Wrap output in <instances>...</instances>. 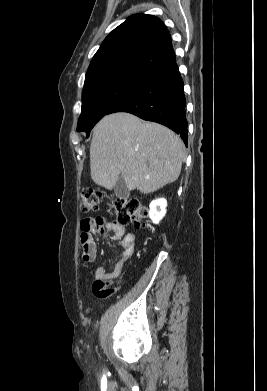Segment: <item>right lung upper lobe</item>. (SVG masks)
<instances>
[{"label":"right lung upper lobe","instance_id":"right-lung-upper-lobe-1","mask_svg":"<svg viewBox=\"0 0 267 391\" xmlns=\"http://www.w3.org/2000/svg\"><path fill=\"white\" fill-rule=\"evenodd\" d=\"M175 61L170 33L162 21L136 14L105 38L89 65L85 83L113 72L152 75Z\"/></svg>","mask_w":267,"mask_h":391}]
</instances>
